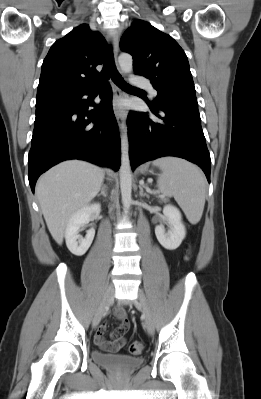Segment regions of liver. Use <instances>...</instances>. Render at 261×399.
Instances as JSON below:
<instances>
[{
  "instance_id": "liver-1",
  "label": "liver",
  "mask_w": 261,
  "mask_h": 399,
  "mask_svg": "<svg viewBox=\"0 0 261 399\" xmlns=\"http://www.w3.org/2000/svg\"><path fill=\"white\" fill-rule=\"evenodd\" d=\"M104 169L85 161L62 162L44 173L36 195L53 239L61 245L69 218L97 195Z\"/></svg>"
}]
</instances>
